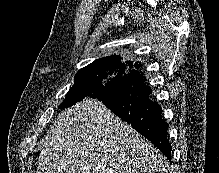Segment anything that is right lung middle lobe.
I'll return each mask as SVG.
<instances>
[{"mask_svg": "<svg viewBox=\"0 0 219 173\" xmlns=\"http://www.w3.org/2000/svg\"><path fill=\"white\" fill-rule=\"evenodd\" d=\"M131 66L118 61L107 62L98 66H86L75 75L73 87L65 100L58 107L67 108L93 94L116 91L123 85L126 76L134 72Z\"/></svg>", "mask_w": 219, "mask_h": 173, "instance_id": "obj_1", "label": "right lung middle lobe"}]
</instances>
